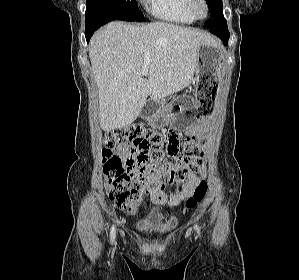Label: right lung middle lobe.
Returning a JSON list of instances; mask_svg holds the SVG:
<instances>
[{
	"label": "right lung middle lobe",
	"mask_w": 299,
	"mask_h": 280,
	"mask_svg": "<svg viewBox=\"0 0 299 280\" xmlns=\"http://www.w3.org/2000/svg\"><path fill=\"white\" fill-rule=\"evenodd\" d=\"M125 12L133 21L144 22L146 19L139 10L136 0H105Z\"/></svg>",
	"instance_id": "dd1d6c3e"
}]
</instances>
